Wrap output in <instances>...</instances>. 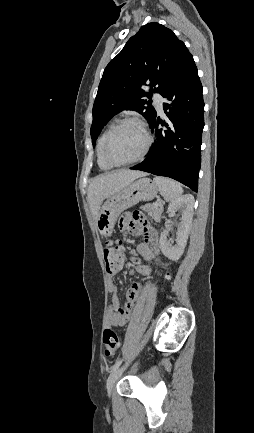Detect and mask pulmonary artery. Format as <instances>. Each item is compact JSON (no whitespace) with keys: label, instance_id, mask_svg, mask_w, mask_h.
Masks as SVG:
<instances>
[{"label":"pulmonary artery","instance_id":"obj_1","mask_svg":"<svg viewBox=\"0 0 254 433\" xmlns=\"http://www.w3.org/2000/svg\"><path fill=\"white\" fill-rule=\"evenodd\" d=\"M155 106L159 112L163 111V97L160 94L154 95Z\"/></svg>","mask_w":254,"mask_h":433}]
</instances>
